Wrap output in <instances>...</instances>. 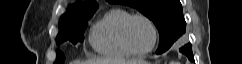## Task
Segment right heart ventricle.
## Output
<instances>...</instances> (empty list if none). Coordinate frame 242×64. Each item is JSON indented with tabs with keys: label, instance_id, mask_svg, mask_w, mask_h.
<instances>
[{
	"label": "right heart ventricle",
	"instance_id": "obj_1",
	"mask_svg": "<svg viewBox=\"0 0 242 64\" xmlns=\"http://www.w3.org/2000/svg\"><path fill=\"white\" fill-rule=\"evenodd\" d=\"M129 15L124 9L114 8L93 25L89 41L97 53L110 58H126L132 55L121 40V28Z\"/></svg>",
	"mask_w": 242,
	"mask_h": 64
}]
</instances>
